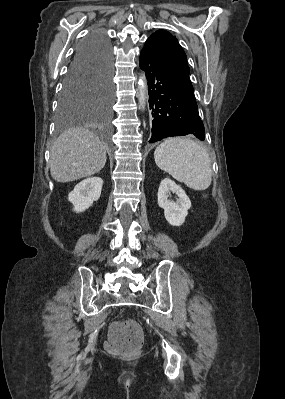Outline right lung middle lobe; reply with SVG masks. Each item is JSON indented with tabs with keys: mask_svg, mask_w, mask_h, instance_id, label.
Returning <instances> with one entry per match:
<instances>
[{
	"mask_svg": "<svg viewBox=\"0 0 285 399\" xmlns=\"http://www.w3.org/2000/svg\"><path fill=\"white\" fill-rule=\"evenodd\" d=\"M113 100L112 71L69 72L59 97L58 119L60 129L89 111H96L107 122Z\"/></svg>",
	"mask_w": 285,
	"mask_h": 399,
	"instance_id": "1",
	"label": "right lung middle lobe"
}]
</instances>
